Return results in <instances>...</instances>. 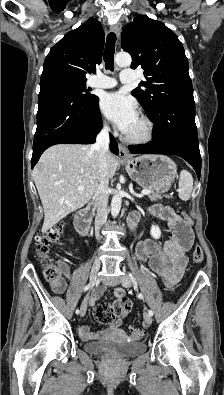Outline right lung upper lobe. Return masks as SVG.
Segmentation results:
<instances>
[{"instance_id":"obj_1","label":"right lung upper lobe","mask_w":224,"mask_h":395,"mask_svg":"<svg viewBox=\"0 0 224 395\" xmlns=\"http://www.w3.org/2000/svg\"><path fill=\"white\" fill-rule=\"evenodd\" d=\"M104 40L101 23L90 18L50 49L42 75L58 71L86 80L85 74L94 72L101 63Z\"/></svg>"}]
</instances>
